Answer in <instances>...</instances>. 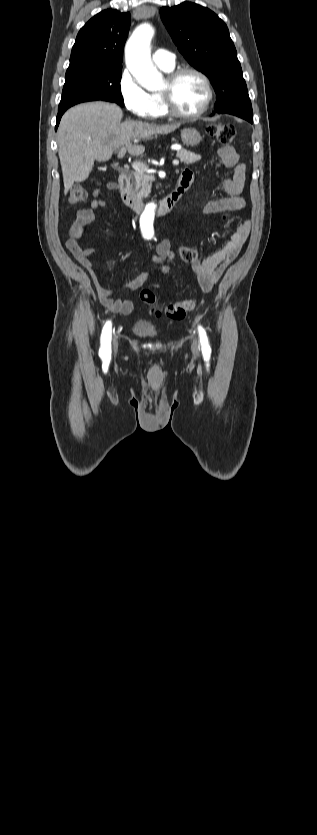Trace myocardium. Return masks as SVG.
I'll use <instances>...</instances> for the list:
<instances>
[{
    "label": "myocardium",
    "mask_w": 317,
    "mask_h": 835,
    "mask_svg": "<svg viewBox=\"0 0 317 835\" xmlns=\"http://www.w3.org/2000/svg\"><path fill=\"white\" fill-rule=\"evenodd\" d=\"M186 74H194V75L198 76L202 80V82L204 83V86H205V89H206V98H205L202 106L200 107V109H198L194 113H184V112L180 111L178 109V107L176 106L175 101H174V97H173V89H174L175 84L177 83V81L183 75H186ZM166 81H167V88L165 90L161 91V96L164 100V103L166 105L168 113L171 116L179 118V119H187V120L188 119H195V118H198V117L202 116L209 109L210 104H211V102L213 100V97H214V90H213V86H212L210 78L204 72H202L201 70H199L197 68H194V67H190V66L181 67V68H178L176 70H173V71L169 72Z\"/></svg>",
    "instance_id": "myocardium-1"
}]
</instances>
